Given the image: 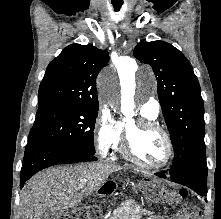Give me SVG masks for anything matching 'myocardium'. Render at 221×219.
I'll return each instance as SVG.
<instances>
[{"mask_svg":"<svg viewBox=\"0 0 221 219\" xmlns=\"http://www.w3.org/2000/svg\"><path fill=\"white\" fill-rule=\"evenodd\" d=\"M132 124H133L132 128L129 126V124L126 125L123 132L121 152L124 155V157L130 160L131 162H133L134 164L140 166L141 168L147 170L159 171L167 168L171 164L174 157V145L168 131L156 121L147 118H139ZM141 129L155 130L163 135L167 146V153L164 161L161 164L150 165L143 162L136 156L133 150L132 133L135 130H141Z\"/></svg>","mask_w":221,"mask_h":219,"instance_id":"1","label":"myocardium"}]
</instances>
